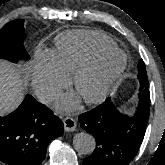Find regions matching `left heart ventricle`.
<instances>
[{"label": "left heart ventricle", "instance_id": "b2bd125f", "mask_svg": "<svg viewBox=\"0 0 165 165\" xmlns=\"http://www.w3.org/2000/svg\"><path fill=\"white\" fill-rule=\"evenodd\" d=\"M119 63V56L103 58L92 71L81 79L78 90L76 91L78 95L83 98L94 94L105 77L108 76Z\"/></svg>", "mask_w": 165, "mask_h": 165}]
</instances>
